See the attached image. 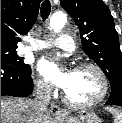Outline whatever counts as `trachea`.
I'll use <instances>...</instances> for the list:
<instances>
[{"instance_id":"3493384b","label":"trachea","mask_w":122,"mask_h":123,"mask_svg":"<svg viewBox=\"0 0 122 123\" xmlns=\"http://www.w3.org/2000/svg\"><path fill=\"white\" fill-rule=\"evenodd\" d=\"M51 12V4L50 1L45 0L42 4H41V17L43 20H46L48 18V16L50 15Z\"/></svg>"}]
</instances>
